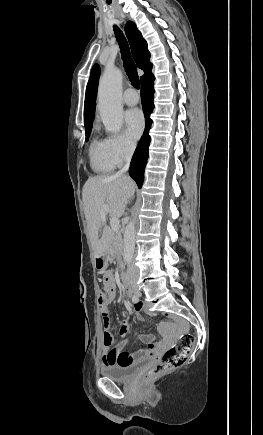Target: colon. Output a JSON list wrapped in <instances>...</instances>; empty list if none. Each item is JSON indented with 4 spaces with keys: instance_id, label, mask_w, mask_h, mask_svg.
I'll return each instance as SVG.
<instances>
[{
    "instance_id": "obj_1",
    "label": "colon",
    "mask_w": 263,
    "mask_h": 435,
    "mask_svg": "<svg viewBox=\"0 0 263 435\" xmlns=\"http://www.w3.org/2000/svg\"><path fill=\"white\" fill-rule=\"evenodd\" d=\"M104 300V294L99 295V302ZM101 348L103 350H113L117 336L113 333L112 328H103L101 336ZM194 346V336L190 333L181 335L176 346L168 349L162 356L161 361L145 372L142 376L144 382H149L155 378L183 365Z\"/></svg>"
}]
</instances>
